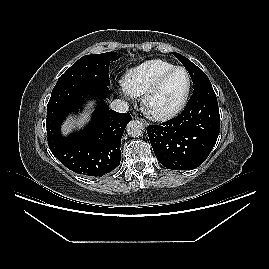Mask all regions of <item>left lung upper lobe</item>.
Segmentation results:
<instances>
[{
	"label": "left lung upper lobe",
	"mask_w": 269,
	"mask_h": 269,
	"mask_svg": "<svg viewBox=\"0 0 269 269\" xmlns=\"http://www.w3.org/2000/svg\"><path fill=\"white\" fill-rule=\"evenodd\" d=\"M173 55L175 57H177L178 60L188 70V72L192 78V81H193L194 90L203 86V85L211 84L207 75L199 67H197L195 64H193L189 59H187L186 57H184L178 53L173 52Z\"/></svg>",
	"instance_id": "left-lung-upper-lobe-1"
}]
</instances>
